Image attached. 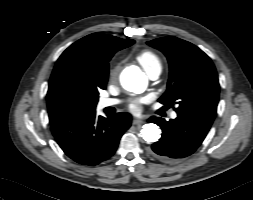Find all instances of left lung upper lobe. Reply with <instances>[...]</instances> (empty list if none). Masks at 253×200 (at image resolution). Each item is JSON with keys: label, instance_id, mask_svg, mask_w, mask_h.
Wrapping results in <instances>:
<instances>
[{"label": "left lung upper lobe", "instance_id": "1", "mask_svg": "<svg viewBox=\"0 0 253 200\" xmlns=\"http://www.w3.org/2000/svg\"><path fill=\"white\" fill-rule=\"evenodd\" d=\"M168 58L170 76L167 91L159 102L173 103L177 114H199L215 118L219 100V82L211 59L195 45L168 36L147 42Z\"/></svg>", "mask_w": 253, "mask_h": 200}]
</instances>
